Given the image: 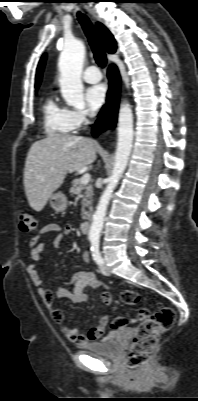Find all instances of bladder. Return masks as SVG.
<instances>
[{
	"label": "bladder",
	"instance_id": "1",
	"mask_svg": "<svg viewBox=\"0 0 198 401\" xmlns=\"http://www.w3.org/2000/svg\"><path fill=\"white\" fill-rule=\"evenodd\" d=\"M119 333L118 331H111L99 341L85 345L84 349L92 354L116 358L121 352V347L117 340Z\"/></svg>",
	"mask_w": 198,
	"mask_h": 401
}]
</instances>
